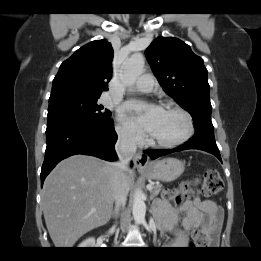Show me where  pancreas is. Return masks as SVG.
I'll list each match as a JSON object with an SVG mask.
<instances>
[{
  "label": "pancreas",
  "mask_w": 261,
  "mask_h": 261,
  "mask_svg": "<svg viewBox=\"0 0 261 261\" xmlns=\"http://www.w3.org/2000/svg\"><path fill=\"white\" fill-rule=\"evenodd\" d=\"M161 190H162V185H155V186H153V189L151 191V195L153 197H155L160 193Z\"/></svg>",
  "instance_id": "cf45deb5"
}]
</instances>
